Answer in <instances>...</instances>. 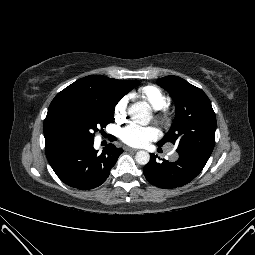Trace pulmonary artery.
I'll return each instance as SVG.
<instances>
[{
	"instance_id": "1",
	"label": "pulmonary artery",
	"mask_w": 255,
	"mask_h": 255,
	"mask_svg": "<svg viewBox=\"0 0 255 255\" xmlns=\"http://www.w3.org/2000/svg\"><path fill=\"white\" fill-rule=\"evenodd\" d=\"M170 159L174 160L176 158V152L174 149H171L168 153Z\"/></svg>"
}]
</instances>
